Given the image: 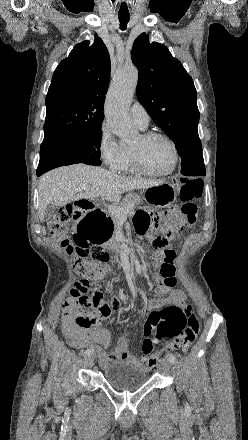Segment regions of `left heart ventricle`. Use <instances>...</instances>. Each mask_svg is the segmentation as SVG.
I'll return each mask as SVG.
<instances>
[{
	"mask_svg": "<svg viewBox=\"0 0 248 440\" xmlns=\"http://www.w3.org/2000/svg\"><path fill=\"white\" fill-rule=\"evenodd\" d=\"M140 144V136L133 146ZM143 159L146 167L154 172H164L173 163L174 155L171 145L162 138H154L143 146Z\"/></svg>",
	"mask_w": 248,
	"mask_h": 440,
	"instance_id": "b2bd125f",
	"label": "left heart ventricle"
}]
</instances>
